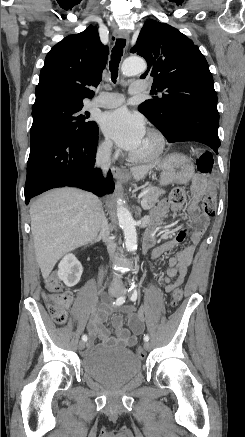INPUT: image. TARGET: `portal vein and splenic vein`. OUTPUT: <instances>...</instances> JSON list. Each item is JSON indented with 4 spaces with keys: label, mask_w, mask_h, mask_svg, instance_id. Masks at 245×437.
<instances>
[{
    "label": "portal vein and splenic vein",
    "mask_w": 245,
    "mask_h": 437,
    "mask_svg": "<svg viewBox=\"0 0 245 437\" xmlns=\"http://www.w3.org/2000/svg\"><path fill=\"white\" fill-rule=\"evenodd\" d=\"M141 197H142V194H140V195L138 196L139 199H140ZM141 206H142V208H143L144 210H148V209H149V206L147 205V202H146L145 199H142V200H141Z\"/></svg>",
    "instance_id": "18ae733b"
}]
</instances>
